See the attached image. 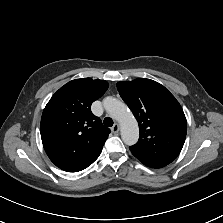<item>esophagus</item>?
<instances>
[{
  "label": "esophagus",
  "instance_id": "34e87169",
  "mask_svg": "<svg viewBox=\"0 0 223 223\" xmlns=\"http://www.w3.org/2000/svg\"><path fill=\"white\" fill-rule=\"evenodd\" d=\"M119 125L117 123H115L112 128H111V131L113 134H117L119 132Z\"/></svg>",
  "mask_w": 223,
  "mask_h": 223
}]
</instances>
